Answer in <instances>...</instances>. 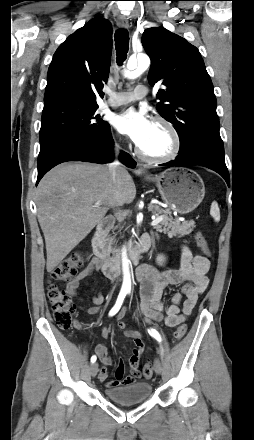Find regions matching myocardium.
Masks as SVG:
<instances>
[{
  "instance_id": "f54148a6",
  "label": "myocardium",
  "mask_w": 254,
  "mask_h": 440,
  "mask_svg": "<svg viewBox=\"0 0 254 440\" xmlns=\"http://www.w3.org/2000/svg\"><path fill=\"white\" fill-rule=\"evenodd\" d=\"M153 122L155 124H160L164 126L168 132L170 133L172 137V147L171 150L162 156H153V155H147L141 151V149L137 146L136 153L137 155L144 161L147 162H153V163H167L169 161L174 160L178 154L180 153L182 142L181 137L176 129V127L173 125L172 122H170L168 119L164 117H156L154 118Z\"/></svg>"
}]
</instances>
